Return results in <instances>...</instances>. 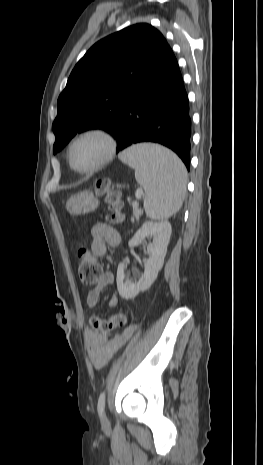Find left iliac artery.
Returning a JSON list of instances; mask_svg holds the SVG:
<instances>
[{
    "instance_id": "1",
    "label": "left iliac artery",
    "mask_w": 263,
    "mask_h": 465,
    "mask_svg": "<svg viewBox=\"0 0 263 465\" xmlns=\"http://www.w3.org/2000/svg\"><path fill=\"white\" fill-rule=\"evenodd\" d=\"M104 407H105V391H103L100 396H99V399H98V413L100 416L103 415V412H104Z\"/></svg>"
}]
</instances>
